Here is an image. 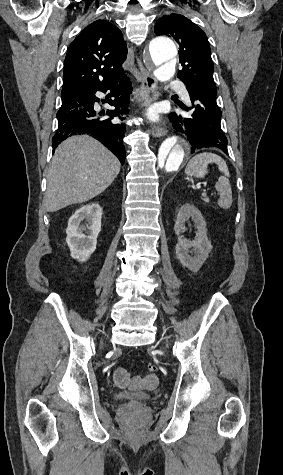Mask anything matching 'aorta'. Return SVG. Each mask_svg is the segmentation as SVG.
I'll list each match as a JSON object with an SVG mask.
<instances>
[{"mask_svg": "<svg viewBox=\"0 0 283 475\" xmlns=\"http://www.w3.org/2000/svg\"><path fill=\"white\" fill-rule=\"evenodd\" d=\"M152 62L157 66L155 76L159 81H169L175 74L177 48L167 37H157L149 44ZM190 154V144L182 136H170L160 145L155 162L154 178L164 179L177 172Z\"/></svg>", "mask_w": 283, "mask_h": 475, "instance_id": "1", "label": "aorta"}]
</instances>
